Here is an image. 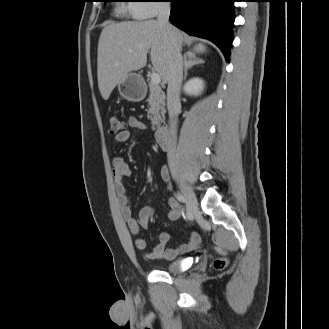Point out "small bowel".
Returning <instances> with one entry per match:
<instances>
[{"label":"small bowel","instance_id":"c3829d8e","mask_svg":"<svg viewBox=\"0 0 329 329\" xmlns=\"http://www.w3.org/2000/svg\"><path fill=\"white\" fill-rule=\"evenodd\" d=\"M128 127L134 130H145L147 125L139 121L135 117L128 118ZM130 139V131L124 130L116 135L115 140L118 143H126ZM112 172L114 177L115 190L117 194V203L121 211V215L127 223L131 233L138 235L141 229H146L149 226L151 217L155 214L152 207H143L138 214V218H134L130 206V199L127 195L124 180L131 175V169L124 160L123 157L118 156L113 160ZM161 178L169 184L170 174L166 167H162L160 170ZM168 218L170 220H176L181 215V206L176 199L171 198L169 200ZM170 240V236L167 233H161L159 241L151 252L146 251V241L141 237L135 239V248L142 252V256L148 261H160V260H172L177 256L194 250L199 244V237L196 234H192L189 238L178 246L168 248L167 244Z\"/></svg>","mask_w":329,"mask_h":329}]
</instances>
